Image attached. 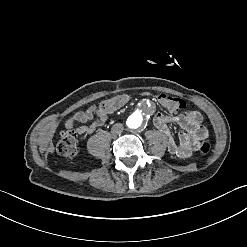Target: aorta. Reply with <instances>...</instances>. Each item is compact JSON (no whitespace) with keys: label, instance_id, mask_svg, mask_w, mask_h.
Wrapping results in <instances>:
<instances>
[{"label":"aorta","instance_id":"1","mask_svg":"<svg viewBox=\"0 0 247 247\" xmlns=\"http://www.w3.org/2000/svg\"><path fill=\"white\" fill-rule=\"evenodd\" d=\"M127 124L129 128L136 129L141 126L142 124V115L139 113L131 115L128 120Z\"/></svg>","mask_w":247,"mask_h":247}]
</instances>
